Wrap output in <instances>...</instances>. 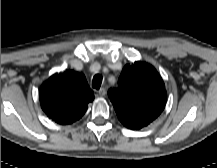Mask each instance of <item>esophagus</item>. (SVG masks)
<instances>
[{
  "label": "esophagus",
  "mask_w": 217,
  "mask_h": 168,
  "mask_svg": "<svg viewBox=\"0 0 217 168\" xmlns=\"http://www.w3.org/2000/svg\"><path fill=\"white\" fill-rule=\"evenodd\" d=\"M106 94L105 88H100L99 90L96 91V97H103Z\"/></svg>",
  "instance_id": "1"
}]
</instances>
